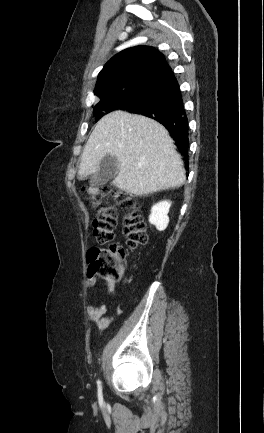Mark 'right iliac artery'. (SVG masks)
<instances>
[{
	"instance_id": "right-iliac-artery-1",
	"label": "right iliac artery",
	"mask_w": 264,
	"mask_h": 433,
	"mask_svg": "<svg viewBox=\"0 0 264 433\" xmlns=\"http://www.w3.org/2000/svg\"><path fill=\"white\" fill-rule=\"evenodd\" d=\"M97 385H98V395H99V397H101L102 396V386H101L100 380L97 381Z\"/></svg>"
}]
</instances>
